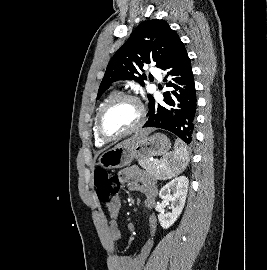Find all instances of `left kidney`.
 <instances>
[{
    "instance_id": "1",
    "label": "left kidney",
    "mask_w": 267,
    "mask_h": 270,
    "mask_svg": "<svg viewBox=\"0 0 267 270\" xmlns=\"http://www.w3.org/2000/svg\"><path fill=\"white\" fill-rule=\"evenodd\" d=\"M189 181L185 176L172 179L159 191V197L171 203L170 213H160L158 220L163 229L171 227L180 216L186 201Z\"/></svg>"
}]
</instances>
